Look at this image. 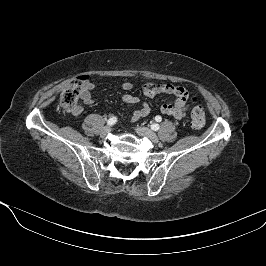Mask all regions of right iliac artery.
I'll return each mask as SVG.
<instances>
[{
	"label": "right iliac artery",
	"mask_w": 266,
	"mask_h": 266,
	"mask_svg": "<svg viewBox=\"0 0 266 266\" xmlns=\"http://www.w3.org/2000/svg\"><path fill=\"white\" fill-rule=\"evenodd\" d=\"M116 122H117V118L113 116V117H111V118L108 120L107 124H108L109 126H112V125H114Z\"/></svg>",
	"instance_id": "obj_1"
}]
</instances>
